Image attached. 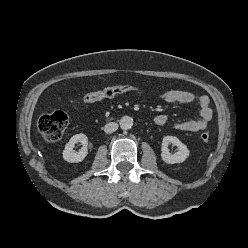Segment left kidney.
I'll list each match as a JSON object with an SVG mask.
<instances>
[{
    "label": "left kidney",
    "instance_id": "left-kidney-1",
    "mask_svg": "<svg viewBox=\"0 0 248 248\" xmlns=\"http://www.w3.org/2000/svg\"><path fill=\"white\" fill-rule=\"evenodd\" d=\"M173 144L178 147V151L171 154L168 149V145ZM161 158L167 164L181 163L185 161L189 156V150L185 144H183L175 136H165L161 145Z\"/></svg>",
    "mask_w": 248,
    "mask_h": 248
}]
</instances>
